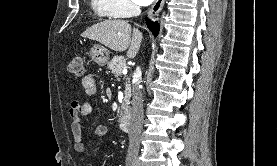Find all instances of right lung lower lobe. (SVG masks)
Here are the masks:
<instances>
[{"mask_svg":"<svg viewBox=\"0 0 277 166\" xmlns=\"http://www.w3.org/2000/svg\"><path fill=\"white\" fill-rule=\"evenodd\" d=\"M147 26L152 31L154 36L158 35V33H159V24H158V22H151V21L147 20Z\"/></svg>","mask_w":277,"mask_h":166,"instance_id":"obj_1","label":"right lung lower lobe"}]
</instances>
